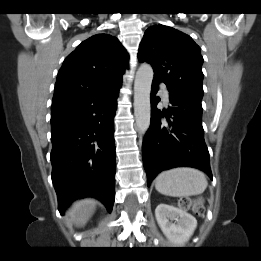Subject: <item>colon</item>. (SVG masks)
<instances>
[{"mask_svg":"<svg viewBox=\"0 0 261 261\" xmlns=\"http://www.w3.org/2000/svg\"><path fill=\"white\" fill-rule=\"evenodd\" d=\"M179 206L182 208L191 207L197 215H202L204 213V205L201 199L192 202L190 198L185 197L180 199Z\"/></svg>","mask_w":261,"mask_h":261,"instance_id":"colon-1","label":"colon"}]
</instances>
